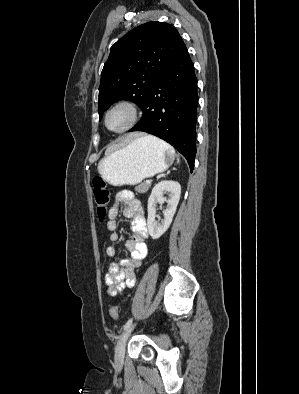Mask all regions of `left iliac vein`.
Masks as SVG:
<instances>
[{"label":"left iliac vein","instance_id":"4c4485c4","mask_svg":"<svg viewBox=\"0 0 299 394\" xmlns=\"http://www.w3.org/2000/svg\"><path fill=\"white\" fill-rule=\"evenodd\" d=\"M134 329V324L130 325L121 335L118 344L116 346V353H115V363L117 366H121L124 362V354H125V346L129 335L131 334L132 330Z\"/></svg>","mask_w":299,"mask_h":394}]
</instances>
